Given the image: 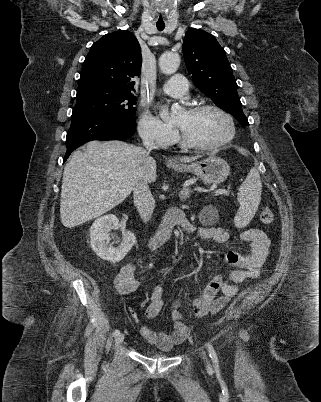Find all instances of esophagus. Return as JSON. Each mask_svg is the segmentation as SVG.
I'll use <instances>...</instances> for the list:
<instances>
[{"instance_id": "34e87169", "label": "esophagus", "mask_w": 321, "mask_h": 402, "mask_svg": "<svg viewBox=\"0 0 321 402\" xmlns=\"http://www.w3.org/2000/svg\"><path fill=\"white\" fill-rule=\"evenodd\" d=\"M169 162L174 163V162H176V161H175V160H173V159H170V160H169Z\"/></svg>"}]
</instances>
